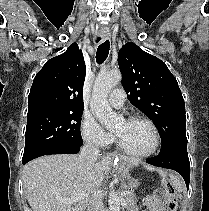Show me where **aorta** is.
<instances>
[{"label": "aorta", "mask_w": 209, "mask_h": 211, "mask_svg": "<svg viewBox=\"0 0 209 211\" xmlns=\"http://www.w3.org/2000/svg\"><path fill=\"white\" fill-rule=\"evenodd\" d=\"M121 78L118 70L100 72L92 90L90 107L100 123L109 130L115 128L121 120V117L112 110L107 99L109 92L121 81ZM108 203L109 211H120V198L116 192L109 193Z\"/></svg>", "instance_id": "obj_1"}]
</instances>
